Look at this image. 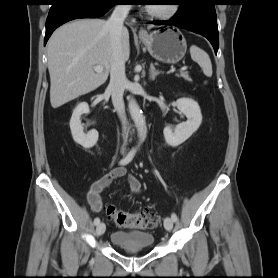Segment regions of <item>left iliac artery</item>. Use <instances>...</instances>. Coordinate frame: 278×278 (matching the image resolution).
<instances>
[{
	"instance_id": "obj_1",
	"label": "left iliac artery",
	"mask_w": 278,
	"mask_h": 278,
	"mask_svg": "<svg viewBox=\"0 0 278 278\" xmlns=\"http://www.w3.org/2000/svg\"><path fill=\"white\" fill-rule=\"evenodd\" d=\"M171 219L173 220V222H176L178 220L177 215L175 213H172Z\"/></svg>"
}]
</instances>
